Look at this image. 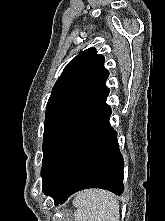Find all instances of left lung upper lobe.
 Here are the masks:
<instances>
[{
	"label": "left lung upper lobe",
	"mask_w": 165,
	"mask_h": 221,
	"mask_svg": "<svg viewBox=\"0 0 165 221\" xmlns=\"http://www.w3.org/2000/svg\"><path fill=\"white\" fill-rule=\"evenodd\" d=\"M108 76L104 57L94 48L81 51L64 68L47 103L42 167L62 136L107 96Z\"/></svg>",
	"instance_id": "5c2ea615"
}]
</instances>
